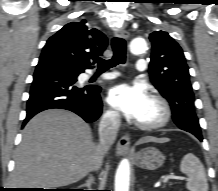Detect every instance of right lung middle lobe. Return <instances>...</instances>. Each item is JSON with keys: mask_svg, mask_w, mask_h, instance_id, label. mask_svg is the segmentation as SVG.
Returning <instances> with one entry per match:
<instances>
[{"mask_svg": "<svg viewBox=\"0 0 218 191\" xmlns=\"http://www.w3.org/2000/svg\"><path fill=\"white\" fill-rule=\"evenodd\" d=\"M39 62L40 63L52 62V63H57V64L65 66L69 70L71 77L73 79H75L76 81H77V76L82 72V70H79V69L69 65L68 63H66L58 58L52 57V56H42V57H40Z\"/></svg>", "mask_w": 218, "mask_h": 191, "instance_id": "right-lung-middle-lobe-1", "label": "right lung middle lobe"}]
</instances>
